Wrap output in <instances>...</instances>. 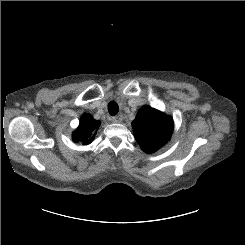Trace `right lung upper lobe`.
<instances>
[{
    "label": "right lung upper lobe",
    "mask_w": 245,
    "mask_h": 245,
    "mask_svg": "<svg viewBox=\"0 0 245 245\" xmlns=\"http://www.w3.org/2000/svg\"><path fill=\"white\" fill-rule=\"evenodd\" d=\"M99 125L100 123L95 121L90 115H82L79 127L72 135L73 140L75 142L81 141L84 145L90 144L93 139L94 130Z\"/></svg>",
    "instance_id": "1"
}]
</instances>
